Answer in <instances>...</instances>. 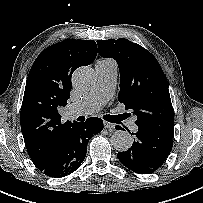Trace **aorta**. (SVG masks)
<instances>
[{
  "instance_id": "aorta-1",
  "label": "aorta",
  "mask_w": 203,
  "mask_h": 203,
  "mask_svg": "<svg viewBox=\"0 0 203 203\" xmlns=\"http://www.w3.org/2000/svg\"><path fill=\"white\" fill-rule=\"evenodd\" d=\"M74 87L79 91L89 90L96 82L95 71L87 66L75 70L72 76ZM111 145L117 151H127L133 144V139L127 131H116L111 136Z\"/></svg>"
}]
</instances>
